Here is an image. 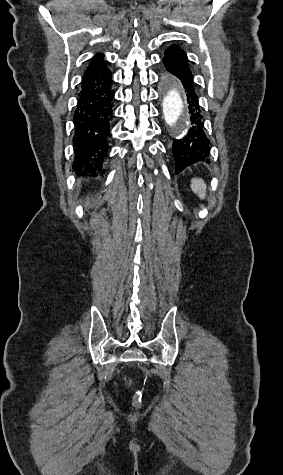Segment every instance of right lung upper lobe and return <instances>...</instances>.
<instances>
[{
  "label": "right lung upper lobe",
  "instance_id": "obj_1",
  "mask_svg": "<svg viewBox=\"0 0 283 475\" xmlns=\"http://www.w3.org/2000/svg\"><path fill=\"white\" fill-rule=\"evenodd\" d=\"M107 68L106 62L101 55H95L89 63L85 72H98Z\"/></svg>",
  "mask_w": 283,
  "mask_h": 475
}]
</instances>
